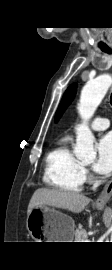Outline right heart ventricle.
<instances>
[{
    "label": "right heart ventricle",
    "instance_id": "obj_1",
    "mask_svg": "<svg viewBox=\"0 0 112 270\" xmlns=\"http://www.w3.org/2000/svg\"><path fill=\"white\" fill-rule=\"evenodd\" d=\"M44 182L57 190L78 193L85 181L81 161L69 147V138H63L46 156Z\"/></svg>",
    "mask_w": 112,
    "mask_h": 270
}]
</instances>
